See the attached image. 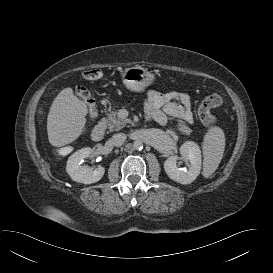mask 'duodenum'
I'll list each match as a JSON object with an SVG mask.
<instances>
[{
	"label": "duodenum",
	"mask_w": 273,
	"mask_h": 273,
	"mask_svg": "<svg viewBox=\"0 0 273 273\" xmlns=\"http://www.w3.org/2000/svg\"><path fill=\"white\" fill-rule=\"evenodd\" d=\"M105 130H106V122L104 120H100L92 131L93 141L95 142L100 141L104 137Z\"/></svg>",
	"instance_id": "410a0bca"
}]
</instances>
